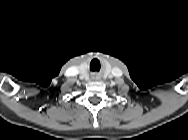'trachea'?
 Masks as SVG:
<instances>
[{"mask_svg":"<svg viewBox=\"0 0 188 140\" xmlns=\"http://www.w3.org/2000/svg\"><path fill=\"white\" fill-rule=\"evenodd\" d=\"M94 62H97V60H92L91 64H93ZM91 64H90V67H91Z\"/></svg>","mask_w":188,"mask_h":140,"instance_id":"3493384b","label":"trachea"}]
</instances>
